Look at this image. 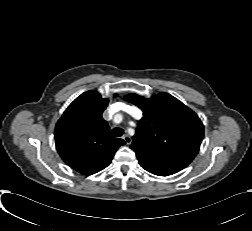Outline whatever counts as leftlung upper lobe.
<instances>
[{
	"mask_svg": "<svg viewBox=\"0 0 252 231\" xmlns=\"http://www.w3.org/2000/svg\"><path fill=\"white\" fill-rule=\"evenodd\" d=\"M125 100L143 111L130 146L138 159L191 163L204 136L203 124L194 111L167 93L150 99L128 94Z\"/></svg>",
	"mask_w": 252,
	"mask_h": 231,
	"instance_id": "5c2ea615",
	"label": "left lung upper lobe"
}]
</instances>
